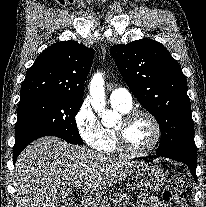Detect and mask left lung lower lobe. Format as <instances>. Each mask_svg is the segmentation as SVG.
<instances>
[{
  "mask_svg": "<svg viewBox=\"0 0 206 207\" xmlns=\"http://www.w3.org/2000/svg\"><path fill=\"white\" fill-rule=\"evenodd\" d=\"M157 156L167 157V158L185 163L190 168V171H191L194 179L197 181V176H196L197 157L186 156V155H181V154H162V155H157ZM146 158L150 159V160H147L146 162L153 161L152 160L153 157L149 156V157H146Z\"/></svg>",
  "mask_w": 206,
  "mask_h": 207,
  "instance_id": "1",
  "label": "left lung lower lobe"
}]
</instances>
